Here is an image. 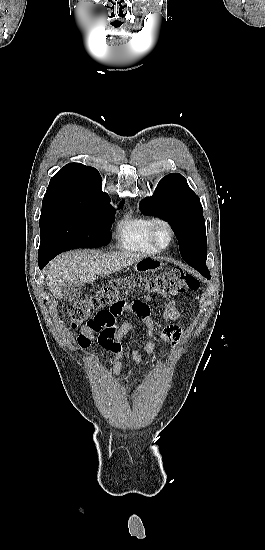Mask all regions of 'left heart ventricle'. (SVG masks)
I'll list each match as a JSON object with an SVG mask.
<instances>
[{
	"label": "left heart ventricle",
	"instance_id": "left-heart-ventricle-1",
	"mask_svg": "<svg viewBox=\"0 0 265 550\" xmlns=\"http://www.w3.org/2000/svg\"><path fill=\"white\" fill-rule=\"evenodd\" d=\"M156 237L160 244L167 245L169 242V233L166 228L160 226L156 229Z\"/></svg>",
	"mask_w": 265,
	"mask_h": 550
}]
</instances>
